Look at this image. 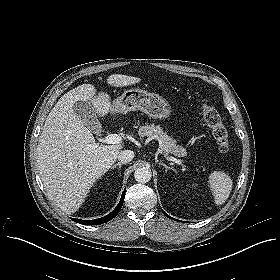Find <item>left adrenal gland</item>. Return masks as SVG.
Instances as JSON below:
<instances>
[{
  "mask_svg": "<svg viewBox=\"0 0 280 280\" xmlns=\"http://www.w3.org/2000/svg\"><path fill=\"white\" fill-rule=\"evenodd\" d=\"M158 164L159 165H161V166H163L164 168H165V171H167V170H175L173 167H170V166H168V165H166L165 163H163V162H158Z\"/></svg>",
  "mask_w": 280,
  "mask_h": 280,
  "instance_id": "a2214340",
  "label": "left adrenal gland"
}]
</instances>
